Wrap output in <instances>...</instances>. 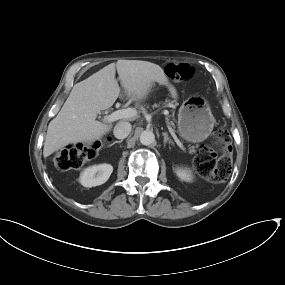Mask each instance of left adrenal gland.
Segmentation results:
<instances>
[{
  "instance_id": "left-adrenal-gland-1",
  "label": "left adrenal gland",
  "mask_w": 285,
  "mask_h": 285,
  "mask_svg": "<svg viewBox=\"0 0 285 285\" xmlns=\"http://www.w3.org/2000/svg\"><path fill=\"white\" fill-rule=\"evenodd\" d=\"M163 137H164V146H166V143L168 142L169 144L174 145V142L169 138V136L167 135V133H162Z\"/></svg>"
}]
</instances>
